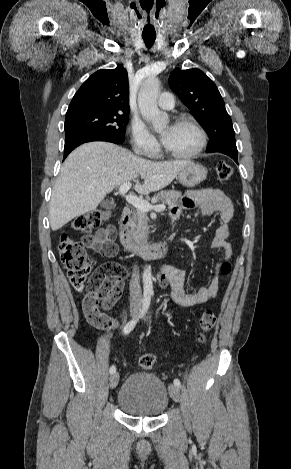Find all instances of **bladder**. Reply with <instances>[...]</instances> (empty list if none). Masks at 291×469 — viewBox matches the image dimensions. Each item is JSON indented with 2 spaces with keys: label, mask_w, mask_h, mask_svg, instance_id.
<instances>
[{
  "label": "bladder",
  "mask_w": 291,
  "mask_h": 469,
  "mask_svg": "<svg viewBox=\"0 0 291 469\" xmlns=\"http://www.w3.org/2000/svg\"><path fill=\"white\" fill-rule=\"evenodd\" d=\"M168 404L169 393L165 383L147 372L131 373L117 394L119 408L132 416H159Z\"/></svg>",
  "instance_id": "obj_1"
}]
</instances>
